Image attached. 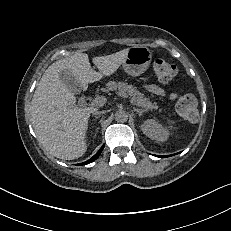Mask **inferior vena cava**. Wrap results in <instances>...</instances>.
<instances>
[{
  "instance_id": "inferior-vena-cava-1",
  "label": "inferior vena cava",
  "mask_w": 231,
  "mask_h": 231,
  "mask_svg": "<svg viewBox=\"0 0 231 231\" xmlns=\"http://www.w3.org/2000/svg\"><path fill=\"white\" fill-rule=\"evenodd\" d=\"M104 114V111H94L93 115Z\"/></svg>"
}]
</instances>
